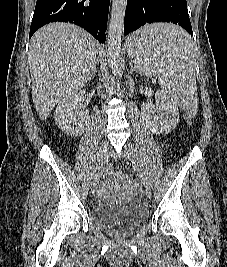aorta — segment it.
Returning <instances> with one entry per match:
<instances>
[{
  "label": "aorta",
  "mask_w": 227,
  "mask_h": 267,
  "mask_svg": "<svg viewBox=\"0 0 227 267\" xmlns=\"http://www.w3.org/2000/svg\"><path fill=\"white\" fill-rule=\"evenodd\" d=\"M127 0H113L108 32L109 65L114 76L119 73L121 36Z\"/></svg>",
  "instance_id": "aorta-1"
}]
</instances>
